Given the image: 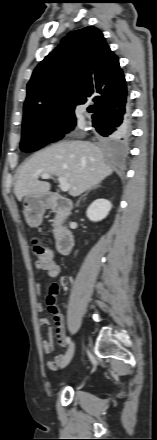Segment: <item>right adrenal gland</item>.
<instances>
[{
  "label": "right adrenal gland",
  "mask_w": 157,
  "mask_h": 440,
  "mask_svg": "<svg viewBox=\"0 0 157 440\" xmlns=\"http://www.w3.org/2000/svg\"><path fill=\"white\" fill-rule=\"evenodd\" d=\"M99 187H101V186L98 184V185H95L93 188L89 189V190H88V191H87L82 197H80V199L77 201L76 206H77V207L79 206V203H80L81 199H82L83 197L87 196L88 193H89L91 190L97 189V188H99Z\"/></svg>",
  "instance_id": "1"
}]
</instances>
